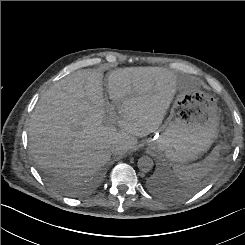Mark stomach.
<instances>
[{
	"instance_id": "1",
	"label": "stomach",
	"mask_w": 245,
	"mask_h": 245,
	"mask_svg": "<svg viewBox=\"0 0 245 245\" xmlns=\"http://www.w3.org/2000/svg\"><path fill=\"white\" fill-rule=\"evenodd\" d=\"M170 114L148 146L172 163L189 164L200 158L220 131L217 99L189 79L179 82Z\"/></svg>"
}]
</instances>
